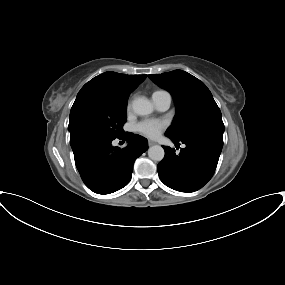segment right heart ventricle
<instances>
[{"instance_id":"obj_1","label":"right heart ventricle","mask_w":285,"mask_h":285,"mask_svg":"<svg viewBox=\"0 0 285 285\" xmlns=\"http://www.w3.org/2000/svg\"><path fill=\"white\" fill-rule=\"evenodd\" d=\"M160 92H164V91H156V92H154L153 94H155V93H160Z\"/></svg>"}]
</instances>
